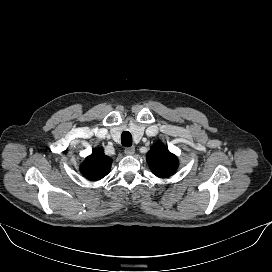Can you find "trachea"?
I'll list each match as a JSON object with an SVG mask.
<instances>
[{"label": "trachea", "mask_w": 272, "mask_h": 272, "mask_svg": "<svg viewBox=\"0 0 272 272\" xmlns=\"http://www.w3.org/2000/svg\"><path fill=\"white\" fill-rule=\"evenodd\" d=\"M122 145L125 147H130L132 145V135L129 131H124L121 135Z\"/></svg>", "instance_id": "trachea-1"}]
</instances>
